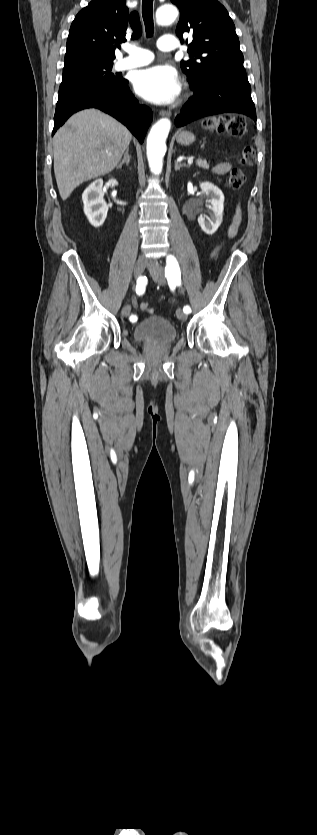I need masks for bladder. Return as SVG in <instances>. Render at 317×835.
I'll return each instance as SVG.
<instances>
[{
	"instance_id": "bladder-1",
	"label": "bladder",
	"mask_w": 317,
	"mask_h": 835,
	"mask_svg": "<svg viewBox=\"0 0 317 835\" xmlns=\"http://www.w3.org/2000/svg\"><path fill=\"white\" fill-rule=\"evenodd\" d=\"M133 338L139 343L166 345L176 340L177 329L167 318L152 315L136 324Z\"/></svg>"
}]
</instances>
